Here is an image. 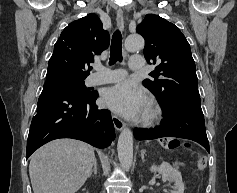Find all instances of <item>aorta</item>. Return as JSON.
Here are the masks:
<instances>
[{
	"label": "aorta",
	"instance_id": "obj_1",
	"mask_svg": "<svg viewBox=\"0 0 237 193\" xmlns=\"http://www.w3.org/2000/svg\"><path fill=\"white\" fill-rule=\"evenodd\" d=\"M144 47V39L139 34H131L125 40V48L136 52ZM118 158L124 170H129L133 162V133L124 128L119 135L117 144Z\"/></svg>",
	"mask_w": 237,
	"mask_h": 193
}]
</instances>
